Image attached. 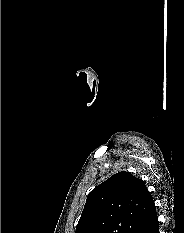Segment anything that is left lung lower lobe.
I'll list each match as a JSON object with an SVG mask.
<instances>
[{
  "instance_id": "obj_1",
  "label": "left lung lower lobe",
  "mask_w": 184,
  "mask_h": 233,
  "mask_svg": "<svg viewBox=\"0 0 184 233\" xmlns=\"http://www.w3.org/2000/svg\"><path fill=\"white\" fill-rule=\"evenodd\" d=\"M139 233H159V222L154 202L150 208L145 224Z\"/></svg>"
}]
</instances>
